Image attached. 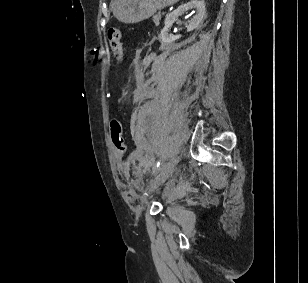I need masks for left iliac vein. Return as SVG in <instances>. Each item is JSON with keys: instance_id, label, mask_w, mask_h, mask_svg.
Listing matches in <instances>:
<instances>
[{"instance_id": "1", "label": "left iliac vein", "mask_w": 308, "mask_h": 283, "mask_svg": "<svg viewBox=\"0 0 308 283\" xmlns=\"http://www.w3.org/2000/svg\"><path fill=\"white\" fill-rule=\"evenodd\" d=\"M179 160L180 157L174 158L160 170L159 174L154 178V180L151 183L150 186L151 192H154L160 185H162L168 179V177L174 171Z\"/></svg>"}]
</instances>
